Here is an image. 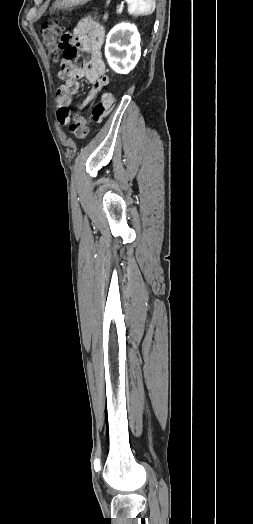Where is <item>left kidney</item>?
Returning <instances> with one entry per match:
<instances>
[{"instance_id":"left-kidney-1","label":"left kidney","mask_w":253,"mask_h":524,"mask_svg":"<svg viewBox=\"0 0 253 524\" xmlns=\"http://www.w3.org/2000/svg\"><path fill=\"white\" fill-rule=\"evenodd\" d=\"M105 56L109 66L119 74H128L141 56L140 34L135 25L121 23L108 33Z\"/></svg>"}]
</instances>
